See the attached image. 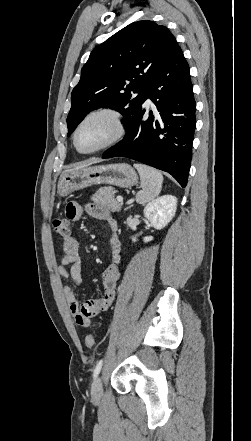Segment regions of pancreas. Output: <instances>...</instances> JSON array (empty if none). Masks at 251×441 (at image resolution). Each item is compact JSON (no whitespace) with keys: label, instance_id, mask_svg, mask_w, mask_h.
I'll list each match as a JSON object with an SVG mask.
<instances>
[{"label":"pancreas","instance_id":"1","mask_svg":"<svg viewBox=\"0 0 251 441\" xmlns=\"http://www.w3.org/2000/svg\"><path fill=\"white\" fill-rule=\"evenodd\" d=\"M116 191L112 187H101L97 192L91 197V200L106 210L111 212H119L122 208V203H119L115 199Z\"/></svg>","mask_w":251,"mask_h":441}]
</instances>
